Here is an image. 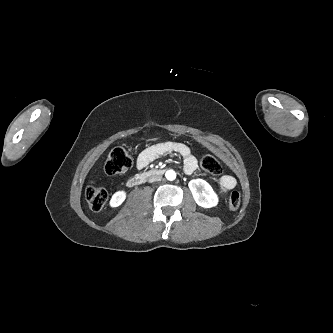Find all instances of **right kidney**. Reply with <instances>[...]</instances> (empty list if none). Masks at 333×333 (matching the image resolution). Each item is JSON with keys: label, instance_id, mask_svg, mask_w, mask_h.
Returning a JSON list of instances; mask_svg holds the SVG:
<instances>
[{"label": "right kidney", "instance_id": "ca27d5eb", "mask_svg": "<svg viewBox=\"0 0 333 333\" xmlns=\"http://www.w3.org/2000/svg\"><path fill=\"white\" fill-rule=\"evenodd\" d=\"M125 198H126V193L124 191L116 192L110 200L111 207L120 206L123 203V201L125 200Z\"/></svg>", "mask_w": 333, "mask_h": 333}]
</instances>
